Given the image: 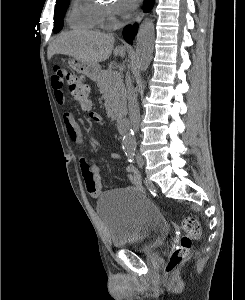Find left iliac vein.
Masks as SVG:
<instances>
[{
    "label": "left iliac vein",
    "mask_w": 245,
    "mask_h": 300,
    "mask_svg": "<svg viewBox=\"0 0 245 300\" xmlns=\"http://www.w3.org/2000/svg\"><path fill=\"white\" fill-rule=\"evenodd\" d=\"M137 164L140 168H142L144 166V159L141 155L137 156Z\"/></svg>",
    "instance_id": "4c4485c4"
}]
</instances>
